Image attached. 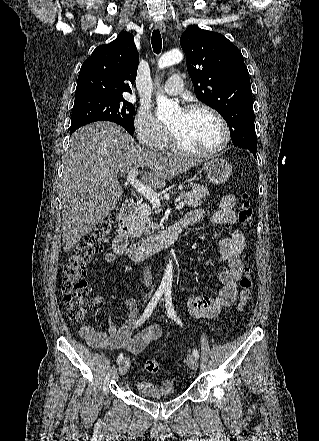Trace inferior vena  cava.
Here are the masks:
<instances>
[{"mask_svg":"<svg viewBox=\"0 0 319 441\" xmlns=\"http://www.w3.org/2000/svg\"><path fill=\"white\" fill-rule=\"evenodd\" d=\"M143 283L149 287L152 283V274L149 267H146L143 271ZM150 295V294H149Z\"/></svg>","mask_w":319,"mask_h":441,"instance_id":"inferior-vena-cava-1","label":"inferior vena cava"}]
</instances>
